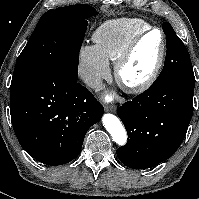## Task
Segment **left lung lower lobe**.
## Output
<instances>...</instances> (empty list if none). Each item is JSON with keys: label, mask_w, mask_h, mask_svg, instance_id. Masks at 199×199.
Segmentation results:
<instances>
[{"label": "left lung lower lobe", "mask_w": 199, "mask_h": 199, "mask_svg": "<svg viewBox=\"0 0 199 199\" xmlns=\"http://www.w3.org/2000/svg\"><path fill=\"white\" fill-rule=\"evenodd\" d=\"M195 80H175L150 87L117 110L129 140L117 156L133 169L169 159L185 138L193 115Z\"/></svg>", "instance_id": "left-lung-lower-lobe-1"}]
</instances>
